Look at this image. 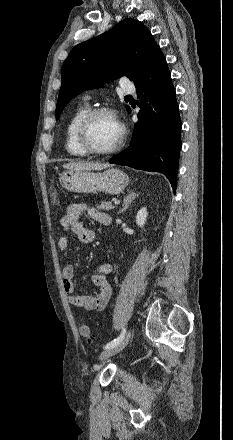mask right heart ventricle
<instances>
[{"label":"right heart ventricle","mask_w":233,"mask_h":440,"mask_svg":"<svg viewBox=\"0 0 233 440\" xmlns=\"http://www.w3.org/2000/svg\"><path fill=\"white\" fill-rule=\"evenodd\" d=\"M87 111L88 107L86 105L77 107L66 126L65 149L68 154L75 157L87 156V154L80 148L76 140V130L78 124Z\"/></svg>","instance_id":"right-heart-ventricle-1"}]
</instances>
